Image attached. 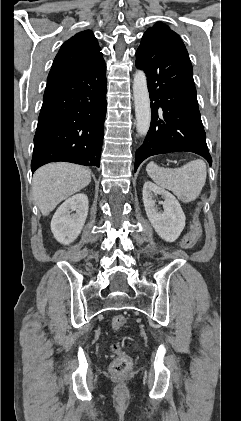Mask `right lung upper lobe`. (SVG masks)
Instances as JSON below:
<instances>
[{
	"instance_id": "cb5924a9",
	"label": "right lung upper lobe",
	"mask_w": 241,
	"mask_h": 421,
	"mask_svg": "<svg viewBox=\"0 0 241 421\" xmlns=\"http://www.w3.org/2000/svg\"><path fill=\"white\" fill-rule=\"evenodd\" d=\"M100 50L92 31L85 30L77 33L61 46L54 59L47 81L94 64L102 59Z\"/></svg>"
}]
</instances>
